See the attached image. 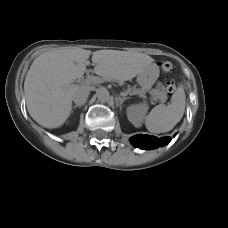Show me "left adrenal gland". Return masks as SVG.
<instances>
[{
    "label": "left adrenal gland",
    "instance_id": "left-adrenal-gland-1",
    "mask_svg": "<svg viewBox=\"0 0 228 228\" xmlns=\"http://www.w3.org/2000/svg\"><path fill=\"white\" fill-rule=\"evenodd\" d=\"M129 97H118V100L120 102V110H122V104L125 100H127Z\"/></svg>",
    "mask_w": 228,
    "mask_h": 228
}]
</instances>
